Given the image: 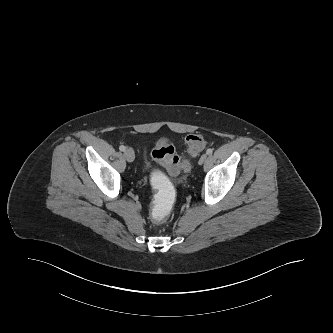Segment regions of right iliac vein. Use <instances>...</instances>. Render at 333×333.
I'll return each mask as SVG.
<instances>
[{
    "label": "right iliac vein",
    "mask_w": 333,
    "mask_h": 333,
    "mask_svg": "<svg viewBox=\"0 0 333 333\" xmlns=\"http://www.w3.org/2000/svg\"><path fill=\"white\" fill-rule=\"evenodd\" d=\"M124 157L128 162H133L135 159L134 151L131 148H128L124 151Z\"/></svg>",
    "instance_id": "63e3f726"
}]
</instances>
